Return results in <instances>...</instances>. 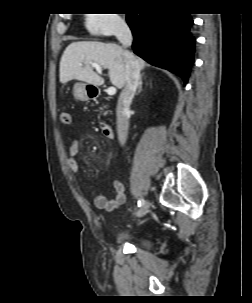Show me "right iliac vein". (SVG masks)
I'll return each instance as SVG.
<instances>
[{
    "mask_svg": "<svg viewBox=\"0 0 252 303\" xmlns=\"http://www.w3.org/2000/svg\"><path fill=\"white\" fill-rule=\"evenodd\" d=\"M149 209V203L148 201H145L144 204L139 208V210L137 211V216L138 217H143L144 215L147 214Z\"/></svg>",
    "mask_w": 252,
    "mask_h": 303,
    "instance_id": "obj_1",
    "label": "right iliac vein"
}]
</instances>
